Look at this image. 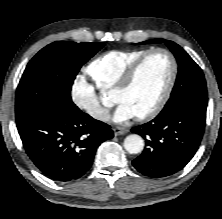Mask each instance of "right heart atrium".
Returning <instances> with one entry per match:
<instances>
[{
    "mask_svg": "<svg viewBox=\"0 0 222 219\" xmlns=\"http://www.w3.org/2000/svg\"><path fill=\"white\" fill-rule=\"evenodd\" d=\"M72 103L92 119L102 122L108 117V108L103 106L94 87L82 75H77L70 87Z\"/></svg>",
    "mask_w": 222,
    "mask_h": 219,
    "instance_id": "d8ad5b80",
    "label": "right heart atrium"
}]
</instances>
